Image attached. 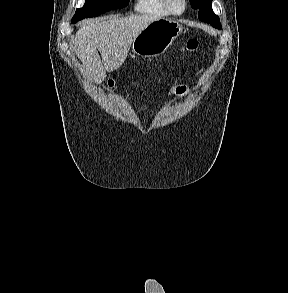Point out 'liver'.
<instances>
[{
  "mask_svg": "<svg viewBox=\"0 0 288 293\" xmlns=\"http://www.w3.org/2000/svg\"><path fill=\"white\" fill-rule=\"evenodd\" d=\"M159 18L157 14L101 18L81 27L75 36L74 50L82 62L83 76L96 84L102 83L106 71L117 70L125 62L135 37Z\"/></svg>",
  "mask_w": 288,
  "mask_h": 293,
  "instance_id": "6515ba94",
  "label": "liver"
}]
</instances>
